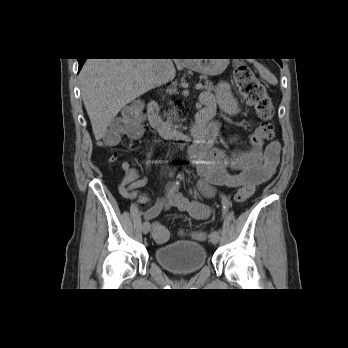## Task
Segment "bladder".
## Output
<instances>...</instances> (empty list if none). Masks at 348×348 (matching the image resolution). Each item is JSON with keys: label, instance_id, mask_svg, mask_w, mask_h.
Here are the masks:
<instances>
[{"label": "bladder", "instance_id": "1", "mask_svg": "<svg viewBox=\"0 0 348 348\" xmlns=\"http://www.w3.org/2000/svg\"><path fill=\"white\" fill-rule=\"evenodd\" d=\"M155 256L160 265L177 275H187L198 271L207 260L203 245L194 241H177L159 246Z\"/></svg>", "mask_w": 348, "mask_h": 348}]
</instances>
